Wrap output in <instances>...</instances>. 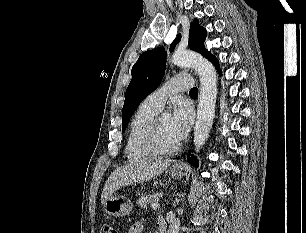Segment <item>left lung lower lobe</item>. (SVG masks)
<instances>
[{"label": "left lung lower lobe", "mask_w": 306, "mask_h": 233, "mask_svg": "<svg viewBox=\"0 0 306 233\" xmlns=\"http://www.w3.org/2000/svg\"><path fill=\"white\" fill-rule=\"evenodd\" d=\"M211 62L215 65V67L218 70L219 74H221V70H220V67H219V64H218V60L216 58H214ZM188 161L191 163L192 166H194V167L198 166V161H197L196 157H191V158L189 157Z\"/></svg>", "instance_id": "0a47b994"}]
</instances>
